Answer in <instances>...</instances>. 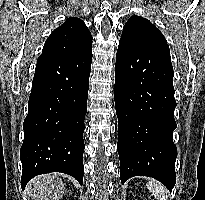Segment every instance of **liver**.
<instances>
[{
	"label": "liver",
	"mask_w": 205,
	"mask_h": 200,
	"mask_svg": "<svg viewBox=\"0 0 205 200\" xmlns=\"http://www.w3.org/2000/svg\"><path fill=\"white\" fill-rule=\"evenodd\" d=\"M64 183L56 174H45L32 179L27 194L33 200H59L64 195Z\"/></svg>",
	"instance_id": "6515ba94"
}]
</instances>
